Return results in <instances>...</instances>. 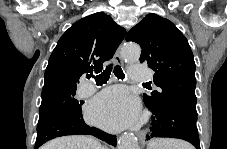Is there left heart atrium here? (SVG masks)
I'll list each match as a JSON object with an SVG mask.
<instances>
[{
	"instance_id": "39dd6f15",
	"label": "left heart atrium",
	"mask_w": 227,
	"mask_h": 149,
	"mask_svg": "<svg viewBox=\"0 0 227 149\" xmlns=\"http://www.w3.org/2000/svg\"><path fill=\"white\" fill-rule=\"evenodd\" d=\"M138 114L137 101L121 87L102 91L87 110V118L91 122L108 130H119L133 124Z\"/></svg>"
}]
</instances>
